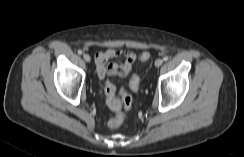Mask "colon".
Here are the masks:
<instances>
[{"instance_id":"5ec220e1","label":"colon","mask_w":244,"mask_h":157,"mask_svg":"<svg viewBox=\"0 0 244 157\" xmlns=\"http://www.w3.org/2000/svg\"><path fill=\"white\" fill-rule=\"evenodd\" d=\"M151 57L150 52L145 51L139 55L140 61H147ZM130 85L132 89L137 90L139 87V77L137 75H133L130 80ZM104 92L106 96V102L108 106L116 111L117 113L110 118L108 121V126L111 128H117L121 126L125 119V115L121 112L123 108L128 109L132 105V98L129 93L121 88L119 97L116 96V88L114 84L110 80H106L104 84Z\"/></svg>"}]
</instances>
